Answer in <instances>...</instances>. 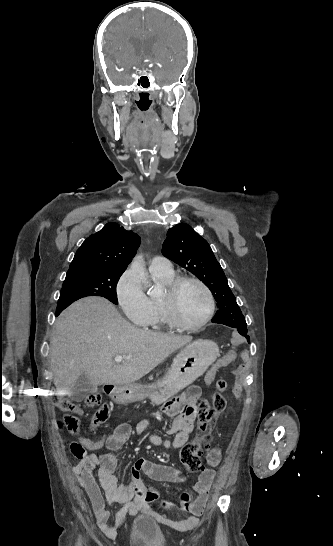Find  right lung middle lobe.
<instances>
[{
    "label": "right lung middle lobe",
    "instance_id": "right-lung-middle-lobe-1",
    "mask_svg": "<svg viewBox=\"0 0 333 546\" xmlns=\"http://www.w3.org/2000/svg\"><path fill=\"white\" fill-rule=\"evenodd\" d=\"M124 270L96 268L83 273L67 274L62 285L57 310L86 296H102L118 304L116 285Z\"/></svg>",
    "mask_w": 333,
    "mask_h": 546
}]
</instances>
